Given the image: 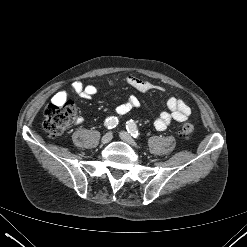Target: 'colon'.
<instances>
[{
    "instance_id": "1",
    "label": "colon",
    "mask_w": 247,
    "mask_h": 247,
    "mask_svg": "<svg viewBox=\"0 0 247 247\" xmlns=\"http://www.w3.org/2000/svg\"><path fill=\"white\" fill-rule=\"evenodd\" d=\"M45 118L43 126L50 136H58L74 121L76 117L75 106L71 102L48 104L44 112ZM194 126L191 123H185L181 127V134L189 136L193 133Z\"/></svg>"
}]
</instances>
